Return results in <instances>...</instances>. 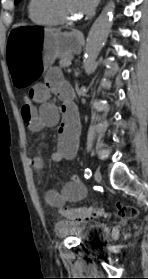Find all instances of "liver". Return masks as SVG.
<instances>
[{"instance_id":"liver-1","label":"liver","mask_w":148,"mask_h":279,"mask_svg":"<svg viewBox=\"0 0 148 279\" xmlns=\"http://www.w3.org/2000/svg\"><path fill=\"white\" fill-rule=\"evenodd\" d=\"M46 31H48V32H60L59 30H56V29H46Z\"/></svg>"}]
</instances>
